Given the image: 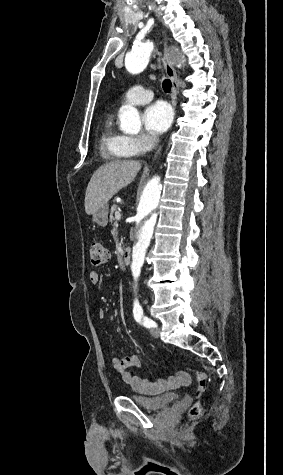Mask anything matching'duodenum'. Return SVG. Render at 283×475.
Wrapping results in <instances>:
<instances>
[{
	"label": "duodenum",
	"instance_id": "1",
	"mask_svg": "<svg viewBox=\"0 0 283 475\" xmlns=\"http://www.w3.org/2000/svg\"><path fill=\"white\" fill-rule=\"evenodd\" d=\"M131 255H132V249L130 247H126L122 253V260L125 264H128L130 262Z\"/></svg>",
	"mask_w": 283,
	"mask_h": 475
}]
</instances>
